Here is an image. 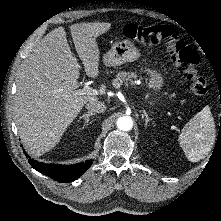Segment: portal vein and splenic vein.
<instances>
[{
	"label": "portal vein and splenic vein",
	"mask_w": 221,
	"mask_h": 221,
	"mask_svg": "<svg viewBox=\"0 0 221 221\" xmlns=\"http://www.w3.org/2000/svg\"><path fill=\"white\" fill-rule=\"evenodd\" d=\"M77 94L78 95L95 96V95H99V91L91 88L88 84H85L83 89H79L77 91Z\"/></svg>",
	"instance_id": "18ae733b"
}]
</instances>
